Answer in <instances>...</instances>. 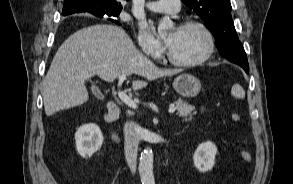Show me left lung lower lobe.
Listing matches in <instances>:
<instances>
[{
	"label": "left lung lower lobe",
	"mask_w": 293,
	"mask_h": 184,
	"mask_svg": "<svg viewBox=\"0 0 293 184\" xmlns=\"http://www.w3.org/2000/svg\"><path fill=\"white\" fill-rule=\"evenodd\" d=\"M241 45L242 44H237L236 48H238V50H242L243 48L240 47ZM225 49H227V47ZM231 62L240 65L246 71V73H249V65L247 61V56L239 58V59H233L231 60Z\"/></svg>",
	"instance_id": "0a47b994"
}]
</instances>
